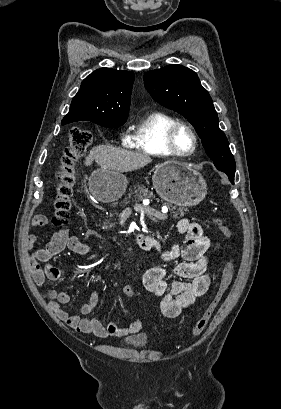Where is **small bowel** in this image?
<instances>
[{"instance_id":"c3829d8e","label":"small bowel","mask_w":281,"mask_h":409,"mask_svg":"<svg viewBox=\"0 0 281 409\" xmlns=\"http://www.w3.org/2000/svg\"><path fill=\"white\" fill-rule=\"evenodd\" d=\"M47 215H38L27 226L26 248L31 250L37 241L35 235H45L47 228L40 224H47ZM178 240L169 247H164L160 242L151 238L152 249L165 262L181 259L170 268L156 266L148 269L143 275V286L153 296L161 297L160 309L167 318L177 317L182 309L192 305L195 299L204 295L209 289L211 278L207 272L208 260L206 252L210 247V238L203 232L202 227L187 218H182L177 224ZM68 249L79 255H86L89 246L78 237L70 235L66 228L53 234L50 242L42 249L34 251L30 256L32 273L35 283L44 286L47 280L58 281L63 279V272L56 266L48 263L52 257ZM45 263L42 268L41 264ZM168 275L177 276L179 279L168 283ZM121 293L126 297L134 295V289L126 285ZM43 295L49 300L57 316L69 327L81 333H92L98 337L110 336L125 337L139 333L143 330V321L137 319L125 327L110 322L103 325L88 315L97 306L99 294L91 293L87 303L79 308V315H73L62 308L71 301V294L65 291L58 292L46 287Z\"/></svg>"}]
</instances>
